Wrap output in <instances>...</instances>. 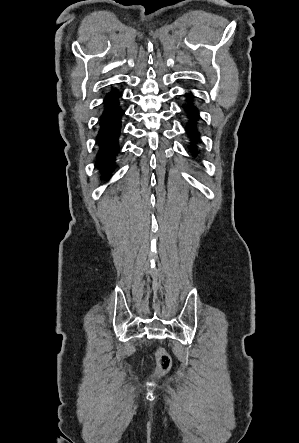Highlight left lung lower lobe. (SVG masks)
Returning <instances> with one entry per match:
<instances>
[{
	"instance_id": "left-lung-lower-lobe-1",
	"label": "left lung lower lobe",
	"mask_w": 299,
	"mask_h": 443,
	"mask_svg": "<svg viewBox=\"0 0 299 443\" xmlns=\"http://www.w3.org/2000/svg\"><path fill=\"white\" fill-rule=\"evenodd\" d=\"M185 96L188 98L187 105L185 106V109H186L187 117L189 119L188 120V127H186V129L189 132L190 137H192L194 141H198L199 132L196 128V124L199 119L198 110L193 105V101H192V98L190 97V95L186 94ZM183 107H184V105H183ZM193 151L195 153H198L197 148H193Z\"/></svg>"
}]
</instances>
